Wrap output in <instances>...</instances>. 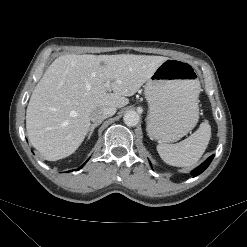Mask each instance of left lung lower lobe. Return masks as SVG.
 Returning a JSON list of instances; mask_svg holds the SVG:
<instances>
[{
  "instance_id": "left-lung-lower-lobe-1",
  "label": "left lung lower lobe",
  "mask_w": 247,
  "mask_h": 247,
  "mask_svg": "<svg viewBox=\"0 0 247 247\" xmlns=\"http://www.w3.org/2000/svg\"><path fill=\"white\" fill-rule=\"evenodd\" d=\"M214 158V155H211L204 163H202L199 167L194 169L191 173L193 176H197L201 174L211 163L212 159Z\"/></svg>"
}]
</instances>
